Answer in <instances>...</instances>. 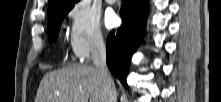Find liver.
<instances>
[{"label": "liver", "mask_w": 221, "mask_h": 102, "mask_svg": "<svg viewBox=\"0 0 221 102\" xmlns=\"http://www.w3.org/2000/svg\"><path fill=\"white\" fill-rule=\"evenodd\" d=\"M101 71L94 66H69L49 72L39 85L35 102H106Z\"/></svg>", "instance_id": "obj_1"}]
</instances>
